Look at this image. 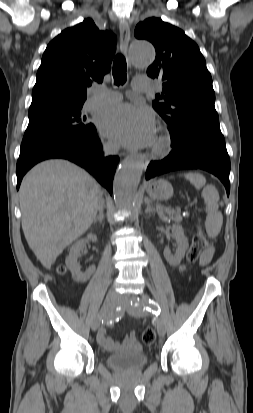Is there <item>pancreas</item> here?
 Here are the masks:
<instances>
[{"mask_svg":"<svg viewBox=\"0 0 253 413\" xmlns=\"http://www.w3.org/2000/svg\"><path fill=\"white\" fill-rule=\"evenodd\" d=\"M161 209H164L165 212L167 213L168 217L172 220H174L175 222H181L182 221V217L179 213H177L175 210L171 209V208H163L160 207Z\"/></svg>","mask_w":253,"mask_h":413,"instance_id":"1","label":"pancreas"}]
</instances>
